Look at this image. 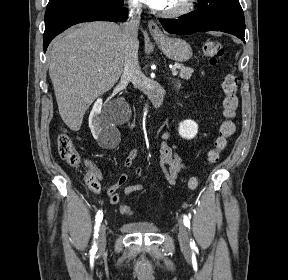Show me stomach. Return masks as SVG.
<instances>
[{
	"label": "stomach",
	"instance_id": "stomach-1",
	"mask_svg": "<svg viewBox=\"0 0 288 280\" xmlns=\"http://www.w3.org/2000/svg\"><path fill=\"white\" fill-rule=\"evenodd\" d=\"M154 39L162 52L171 60L185 62L193 55L191 46L183 39L167 36H154Z\"/></svg>",
	"mask_w": 288,
	"mask_h": 280
}]
</instances>
